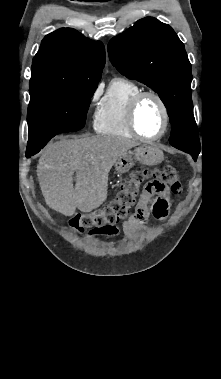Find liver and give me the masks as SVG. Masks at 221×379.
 Wrapping results in <instances>:
<instances>
[{
    "label": "liver",
    "instance_id": "1",
    "mask_svg": "<svg viewBox=\"0 0 221 379\" xmlns=\"http://www.w3.org/2000/svg\"><path fill=\"white\" fill-rule=\"evenodd\" d=\"M136 142L113 136L63 139L42 151L37 176L46 204L72 216L76 208L91 212L107 199L108 174ZM76 172V184L73 175Z\"/></svg>",
    "mask_w": 221,
    "mask_h": 379
}]
</instances>
